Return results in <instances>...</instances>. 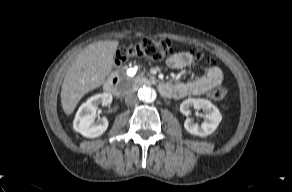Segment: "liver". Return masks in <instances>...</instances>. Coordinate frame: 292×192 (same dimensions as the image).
<instances>
[{
    "mask_svg": "<svg viewBox=\"0 0 292 192\" xmlns=\"http://www.w3.org/2000/svg\"><path fill=\"white\" fill-rule=\"evenodd\" d=\"M118 41H100L81 51L67 71L61 89V103L71 115L81 98L104 84L114 64Z\"/></svg>",
    "mask_w": 292,
    "mask_h": 192,
    "instance_id": "obj_1",
    "label": "liver"
}]
</instances>
